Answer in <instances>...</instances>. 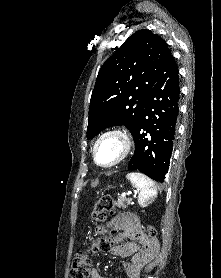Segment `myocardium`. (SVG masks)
<instances>
[{
    "label": "myocardium",
    "mask_w": 221,
    "mask_h": 278,
    "mask_svg": "<svg viewBox=\"0 0 221 278\" xmlns=\"http://www.w3.org/2000/svg\"><path fill=\"white\" fill-rule=\"evenodd\" d=\"M107 136L119 137L122 141L123 149H122L121 156L115 162H113L112 164L103 165V164L99 163V161L97 159L96 148H97V145L99 144V142ZM131 148H132V141L127 132H125L121 129H117V128L109 129V130L103 132L102 134H100L96 138V140L93 144V147H92V157H93V160L96 165H98L99 167L105 168V169H110V168H114V167L118 166L119 164H121L122 162H124L127 159V157L129 156V154L131 152Z\"/></svg>",
    "instance_id": "obj_1"
}]
</instances>
